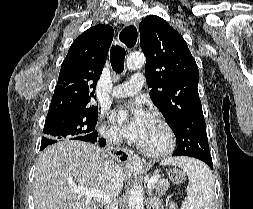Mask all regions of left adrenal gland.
Masks as SVG:
<instances>
[{"instance_id": "left-adrenal-gland-1", "label": "left adrenal gland", "mask_w": 253, "mask_h": 209, "mask_svg": "<svg viewBox=\"0 0 253 209\" xmlns=\"http://www.w3.org/2000/svg\"><path fill=\"white\" fill-rule=\"evenodd\" d=\"M148 209H159L161 202L156 197H153L152 190L148 191Z\"/></svg>"}]
</instances>
